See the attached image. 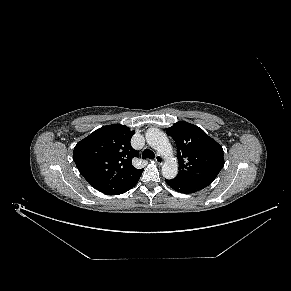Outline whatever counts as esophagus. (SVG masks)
Returning a JSON list of instances; mask_svg holds the SVG:
<instances>
[{"label": "esophagus", "mask_w": 291, "mask_h": 291, "mask_svg": "<svg viewBox=\"0 0 291 291\" xmlns=\"http://www.w3.org/2000/svg\"><path fill=\"white\" fill-rule=\"evenodd\" d=\"M155 161H156V163L157 164H159V165H161V164H163V157L161 156V155H156V157H155Z\"/></svg>", "instance_id": "34e87169"}]
</instances>
